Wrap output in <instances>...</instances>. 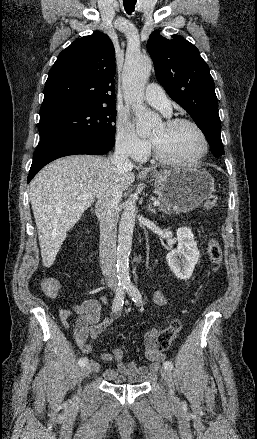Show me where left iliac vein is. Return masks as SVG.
Instances as JSON below:
<instances>
[{
  "mask_svg": "<svg viewBox=\"0 0 257 439\" xmlns=\"http://www.w3.org/2000/svg\"><path fill=\"white\" fill-rule=\"evenodd\" d=\"M162 378L166 381L167 385H168V390H169V395L171 398L174 397V382H173V377L171 372L166 369L163 368L160 372Z\"/></svg>",
  "mask_w": 257,
  "mask_h": 439,
  "instance_id": "obj_1",
  "label": "left iliac vein"
}]
</instances>
